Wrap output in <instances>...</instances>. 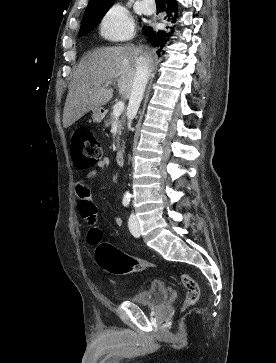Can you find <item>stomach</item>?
I'll return each instance as SVG.
<instances>
[{"label": "stomach", "instance_id": "1", "mask_svg": "<svg viewBox=\"0 0 276 363\" xmlns=\"http://www.w3.org/2000/svg\"><path fill=\"white\" fill-rule=\"evenodd\" d=\"M105 115L106 111L102 107L97 108L93 110L92 114L93 121L96 123H100L104 119Z\"/></svg>", "mask_w": 276, "mask_h": 363}]
</instances>
